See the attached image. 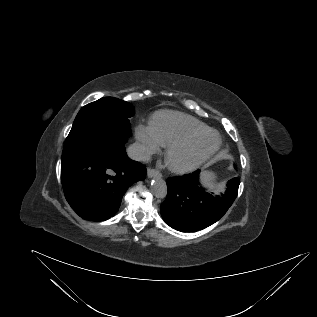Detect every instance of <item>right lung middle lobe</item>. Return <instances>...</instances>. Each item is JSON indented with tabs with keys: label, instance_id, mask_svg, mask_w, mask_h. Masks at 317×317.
Here are the masks:
<instances>
[{
	"label": "right lung middle lobe",
	"instance_id": "right-lung-middle-lobe-1",
	"mask_svg": "<svg viewBox=\"0 0 317 317\" xmlns=\"http://www.w3.org/2000/svg\"><path fill=\"white\" fill-rule=\"evenodd\" d=\"M133 115L130 103L113 97L82 107L66 138L61 160L78 156L105 139L126 142L131 136L129 118Z\"/></svg>",
	"mask_w": 317,
	"mask_h": 317
}]
</instances>
